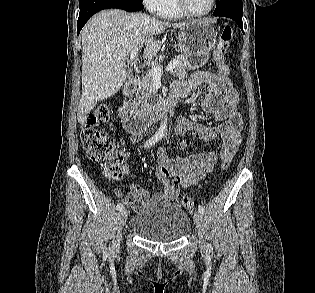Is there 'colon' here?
<instances>
[{
	"label": "colon",
	"instance_id": "1",
	"mask_svg": "<svg viewBox=\"0 0 315 293\" xmlns=\"http://www.w3.org/2000/svg\"><path fill=\"white\" fill-rule=\"evenodd\" d=\"M233 37V29L225 26L221 31L218 44L214 52V60L217 67V76L227 85L230 94L236 93V87L232 85L234 80L230 78V70L225 62V55L229 43ZM111 117V110L107 105H100L86 118L81 130V141L87 156L106 165V176L111 180H119L126 170V155L119 150L117 141L99 128L100 125L108 122ZM230 164L229 160L222 162V169L225 170ZM130 190H139L131 186ZM130 197V196H129ZM179 203L186 209H193L194 201L188 196L179 199Z\"/></svg>",
	"mask_w": 315,
	"mask_h": 293
}]
</instances>
